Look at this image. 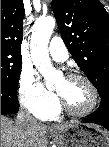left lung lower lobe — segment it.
<instances>
[{"instance_id": "left-lung-lower-lobe-1", "label": "left lung lower lobe", "mask_w": 109, "mask_h": 147, "mask_svg": "<svg viewBox=\"0 0 109 147\" xmlns=\"http://www.w3.org/2000/svg\"><path fill=\"white\" fill-rule=\"evenodd\" d=\"M82 122H91L105 127L109 131V94L101 96L99 108Z\"/></svg>"}]
</instances>
